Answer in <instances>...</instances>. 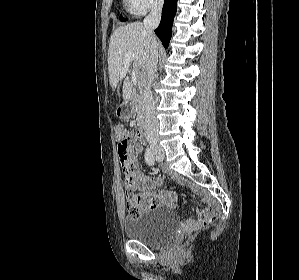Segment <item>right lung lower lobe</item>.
Listing matches in <instances>:
<instances>
[{
	"mask_svg": "<svg viewBox=\"0 0 299 280\" xmlns=\"http://www.w3.org/2000/svg\"><path fill=\"white\" fill-rule=\"evenodd\" d=\"M177 10V0H165L162 9L160 25L155 29L156 35L160 38L163 46L168 48L172 35V24Z\"/></svg>",
	"mask_w": 299,
	"mask_h": 280,
	"instance_id": "right-lung-lower-lobe-1",
	"label": "right lung lower lobe"
}]
</instances>
